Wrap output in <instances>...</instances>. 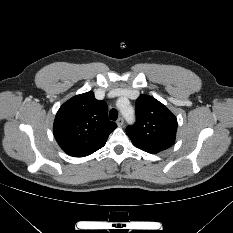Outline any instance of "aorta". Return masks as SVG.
<instances>
[{
  "label": "aorta",
  "mask_w": 233,
  "mask_h": 233,
  "mask_svg": "<svg viewBox=\"0 0 233 233\" xmlns=\"http://www.w3.org/2000/svg\"><path fill=\"white\" fill-rule=\"evenodd\" d=\"M121 112L128 123H132L134 121L133 112L128 113L126 107L121 108Z\"/></svg>",
  "instance_id": "1"
}]
</instances>
